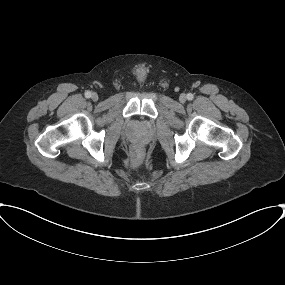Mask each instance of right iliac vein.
I'll return each mask as SVG.
<instances>
[{
  "mask_svg": "<svg viewBox=\"0 0 285 285\" xmlns=\"http://www.w3.org/2000/svg\"><path fill=\"white\" fill-rule=\"evenodd\" d=\"M91 98L93 101H97L98 100V94L97 93H92Z\"/></svg>",
  "mask_w": 285,
  "mask_h": 285,
  "instance_id": "63e3f726",
  "label": "right iliac vein"
}]
</instances>
